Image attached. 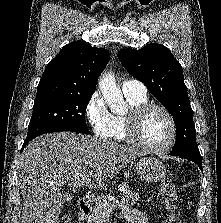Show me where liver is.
I'll use <instances>...</instances> for the list:
<instances>
[{
  "instance_id": "obj_1",
  "label": "liver",
  "mask_w": 221,
  "mask_h": 223,
  "mask_svg": "<svg viewBox=\"0 0 221 223\" xmlns=\"http://www.w3.org/2000/svg\"><path fill=\"white\" fill-rule=\"evenodd\" d=\"M144 154L133 146L71 132L36 137L17 165L22 223H56L65 202L61 186L72 188L87 178L89 188H104L128 162Z\"/></svg>"
}]
</instances>
